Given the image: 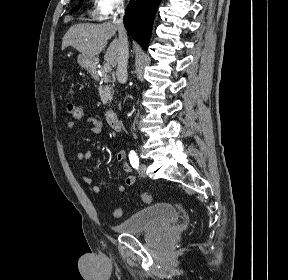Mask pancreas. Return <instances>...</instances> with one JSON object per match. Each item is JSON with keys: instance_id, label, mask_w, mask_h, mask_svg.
<instances>
[{"instance_id": "cf45deb5", "label": "pancreas", "mask_w": 288, "mask_h": 280, "mask_svg": "<svg viewBox=\"0 0 288 280\" xmlns=\"http://www.w3.org/2000/svg\"><path fill=\"white\" fill-rule=\"evenodd\" d=\"M102 82L104 83H108L110 82V79L108 77V75L102 71V78H101ZM99 94L101 97V101L106 104L108 103V101H110L112 99V86H100L99 87Z\"/></svg>"}]
</instances>
